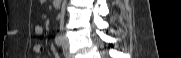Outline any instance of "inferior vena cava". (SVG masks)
Masks as SVG:
<instances>
[{"label":"inferior vena cava","instance_id":"602c4592","mask_svg":"<svg viewBox=\"0 0 181 58\" xmlns=\"http://www.w3.org/2000/svg\"><path fill=\"white\" fill-rule=\"evenodd\" d=\"M65 6H66V0H63L62 8H61V20H60L61 30L63 29V25H64Z\"/></svg>","mask_w":181,"mask_h":58}]
</instances>
